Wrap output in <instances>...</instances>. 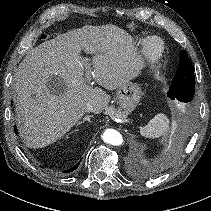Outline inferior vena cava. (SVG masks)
<instances>
[{"instance_id": "inferior-vena-cava-1", "label": "inferior vena cava", "mask_w": 211, "mask_h": 211, "mask_svg": "<svg viewBox=\"0 0 211 211\" xmlns=\"http://www.w3.org/2000/svg\"><path fill=\"white\" fill-rule=\"evenodd\" d=\"M85 111L94 113V111H95L94 105L92 103H87L85 106Z\"/></svg>"}]
</instances>
